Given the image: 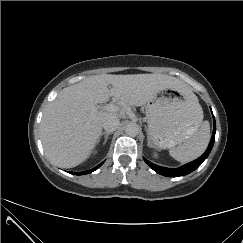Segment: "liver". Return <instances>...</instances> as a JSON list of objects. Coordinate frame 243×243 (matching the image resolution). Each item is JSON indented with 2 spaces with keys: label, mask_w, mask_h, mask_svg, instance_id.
I'll return each instance as SVG.
<instances>
[{
  "label": "liver",
  "mask_w": 243,
  "mask_h": 243,
  "mask_svg": "<svg viewBox=\"0 0 243 243\" xmlns=\"http://www.w3.org/2000/svg\"><path fill=\"white\" fill-rule=\"evenodd\" d=\"M166 89L188 91L182 81L165 74H100L62 89L41 121L46 155L59 167H76L97 145L104 119L120 116L117 112L99 111L98 103L114 97L124 105L143 106Z\"/></svg>",
  "instance_id": "liver-1"
}]
</instances>
